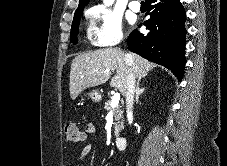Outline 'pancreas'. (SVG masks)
Returning <instances> with one entry per match:
<instances>
[{
	"label": "pancreas",
	"mask_w": 227,
	"mask_h": 166,
	"mask_svg": "<svg viewBox=\"0 0 227 166\" xmlns=\"http://www.w3.org/2000/svg\"><path fill=\"white\" fill-rule=\"evenodd\" d=\"M104 109L107 111H112L114 116V128L115 135L118 136L121 129H123V112L121 110V106L117 105L115 108L111 107V101H106L104 105Z\"/></svg>",
	"instance_id": "1"
}]
</instances>
